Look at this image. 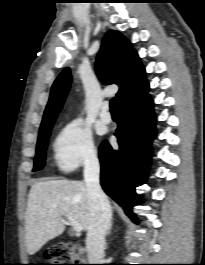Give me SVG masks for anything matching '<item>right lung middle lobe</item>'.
I'll return each instance as SVG.
<instances>
[{
    "label": "right lung middle lobe",
    "mask_w": 205,
    "mask_h": 265,
    "mask_svg": "<svg viewBox=\"0 0 205 265\" xmlns=\"http://www.w3.org/2000/svg\"><path fill=\"white\" fill-rule=\"evenodd\" d=\"M52 126L53 125H49L41 129L39 132V138H38L37 147H36V156L34 160V168H33L34 172L41 170L44 167L47 143H48V138L50 136Z\"/></svg>",
    "instance_id": "dd1d6c3e"
}]
</instances>
